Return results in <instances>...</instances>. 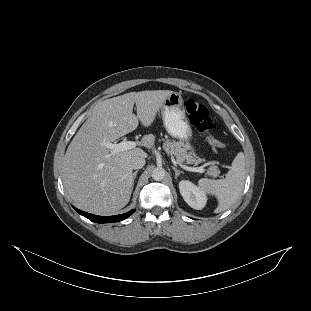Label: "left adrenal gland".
Instances as JSON below:
<instances>
[{
  "instance_id": "a2214340",
  "label": "left adrenal gland",
  "mask_w": 311,
  "mask_h": 311,
  "mask_svg": "<svg viewBox=\"0 0 311 311\" xmlns=\"http://www.w3.org/2000/svg\"><path fill=\"white\" fill-rule=\"evenodd\" d=\"M172 169L175 171V179H177L178 176H179L182 172L179 171L178 169H176L175 167H172Z\"/></svg>"
}]
</instances>
